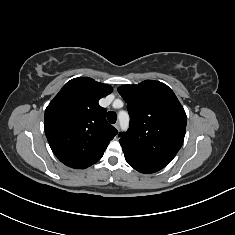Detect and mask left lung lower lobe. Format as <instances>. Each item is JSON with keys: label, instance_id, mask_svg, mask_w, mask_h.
I'll list each match as a JSON object with an SVG mask.
<instances>
[{"label": "left lung lower lobe", "instance_id": "left-lung-lower-lobe-1", "mask_svg": "<svg viewBox=\"0 0 235 235\" xmlns=\"http://www.w3.org/2000/svg\"><path fill=\"white\" fill-rule=\"evenodd\" d=\"M125 159L134 169L141 173H154L163 168V166L144 161L140 158L125 154Z\"/></svg>", "mask_w": 235, "mask_h": 235}]
</instances>
